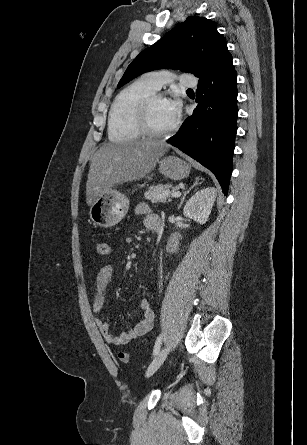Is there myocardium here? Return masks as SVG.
Returning a JSON list of instances; mask_svg holds the SVG:
<instances>
[{"label":"myocardium","mask_w":307,"mask_h":445,"mask_svg":"<svg viewBox=\"0 0 307 445\" xmlns=\"http://www.w3.org/2000/svg\"><path fill=\"white\" fill-rule=\"evenodd\" d=\"M157 99H164V96L158 92L154 91L152 94L148 95L139 105L138 115L140 119L141 126L143 128L144 134L148 135L145 139H158L160 136H169L175 133L179 127V122L175 123L167 130L159 131L156 130L150 121V109L154 101Z\"/></svg>","instance_id":"obj_1"}]
</instances>
